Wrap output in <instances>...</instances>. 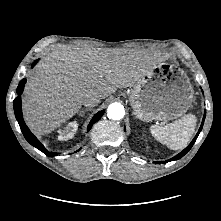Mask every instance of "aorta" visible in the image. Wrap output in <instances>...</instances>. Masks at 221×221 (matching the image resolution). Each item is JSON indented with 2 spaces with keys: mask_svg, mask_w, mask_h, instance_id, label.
<instances>
[{
  "mask_svg": "<svg viewBox=\"0 0 221 221\" xmlns=\"http://www.w3.org/2000/svg\"><path fill=\"white\" fill-rule=\"evenodd\" d=\"M125 110L124 107L120 103H112L108 106L107 116L113 120H120L124 117Z\"/></svg>",
  "mask_w": 221,
  "mask_h": 221,
  "instance_id": "1",
  "label": "aorta"
}]
</instances>
